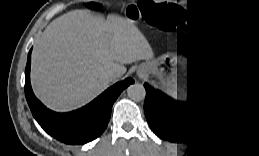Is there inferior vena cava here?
<instances>
[{"mask_svg":"<svg viewBox=\"0 0 259 156\" xmlns=\"http://www.w3.org/2000/svg\"><path fill=\"white\" fill-rule=\"evenodd\" d=\"M110 79L111 80H115L116 78H119L121 76V73L120 72H112L110 73Z\"/></svg>","mask_w":259,"mask_h":156,"instance_id":"obj_1","label":"inferior vena cava"}]
</instances>
